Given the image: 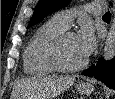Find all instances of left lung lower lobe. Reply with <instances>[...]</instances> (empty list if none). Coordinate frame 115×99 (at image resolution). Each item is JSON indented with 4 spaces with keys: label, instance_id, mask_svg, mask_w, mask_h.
Listing matches in <instances>:
<instances>
[{
    "label": "left lung lower lobe",
    "instance_id": "0a47b994",
    "mask_svg": "<svg viewBox=\"0 0 115 99\" xmlns=\"http://www.w3.org/2000/svg\"><path fill=\"white\" fill-rule=\"evenodd\" d=\"M82 75L93 76L108 87L115 89V57L110 61L99 59L96 65L83 71Z\"/></svg>",
    "mask_w": 115,
    "mask_h": 99
}]
</instances>
